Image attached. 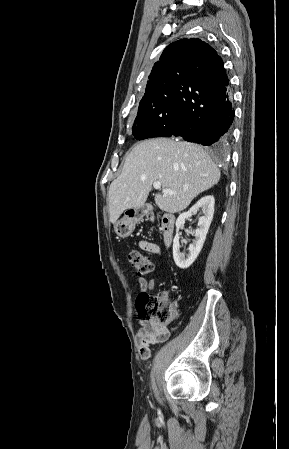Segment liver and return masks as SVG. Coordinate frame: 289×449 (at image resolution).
I'll return each mask as SVG.
<instances>
[{"label": "liver", "instance_id": "6515ba94", "mask_svg": "<svg viewBox=\"0 0 289 449\" xmlns=\"http://www.w3.org/2000/svg\"><path fill=\"white\" fill-rule=\"evenodd\" d=\"M220 177L218 167L197 144L167 138L143 141L128 154L122 173L110 185V222L115 225L125 210L143 206L155 182L162 186V194L155 196L156 205L176 213L217 184ZM164 189L175 194H165Z\"/></svg>", "mask_w": 289, "mask_h": 449}]
</instances>
